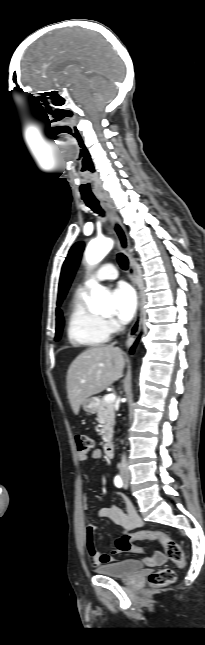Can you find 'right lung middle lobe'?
Returning <instances> with one entry per match:
<instances>
[{"label":"right lung middle lobe","instance_id":"1","mask_svg":"<svg viewBox=\"0 0 205 645\" xmlns=\"http://www.w3.org/2000/svg\"><path fill=\"white\" fill-rule=\"evenodd\" d=\"M63 324H64L63 317H60L59 319L56 320V336H55L56 341L60 339Z\"/></svg>","mask_w":205,"mask_h":645}]
</instances>
